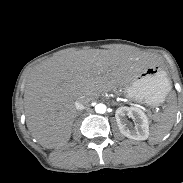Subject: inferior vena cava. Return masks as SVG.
<instances>
[{
    "label": "inferior vena cava",
    "instance_id": "602c4592",
    "mask_svg": "<svg viewBox=\"0 0 183 183\" xmlns=\"http://www.w3.org/2000/svg\"><path fill=\"white\" fill-rule=\"evenodd\" d=\"M90 102L89 98H86L85 96H82L80 98H78V100H76L75 102V108L77 110H82L85 108V105L88 104Z\"/></svg>",
    "mask_w": 183,
    "mask_h": 183
}]
</instances>
